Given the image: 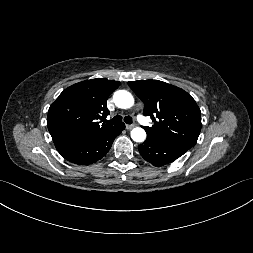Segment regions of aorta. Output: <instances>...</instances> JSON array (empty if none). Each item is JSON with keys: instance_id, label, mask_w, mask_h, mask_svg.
I'll use <instances>...</instances> for the list:
<instances>
[{"instance_id": "aorta-1", "label": "aorta", "mask_w": 253, "mask_h": 253, "mask_svg": "<svg viewBox=\"0 0 253 253\" xmlns=\"http://www.w3.org/2000/svg\"><path fill=\"white\" fill-rule=\"evenodd\" d=\"M113 100L118 108L128 109L133 106L134 98L126 90H118L113 95ZM131 138L135 142H143L146 139V132L140 127L133 128L131 131Z\"/></svg>"}]
</instances>
